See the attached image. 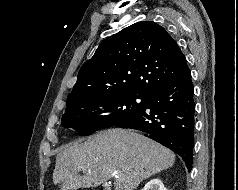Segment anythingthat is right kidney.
Segmentation results:
<instances>
[{
    "mask_svg": "<svg viewBox=\"0 0 238 190\" xmlns=\"http://www.w3.org/2000/svg\"><path fill=\"white\" fill-rule=\"evenodd\" d=\"M142 190H167L159 179L149 181Z\"/></svg>",
    "mask_w": 238,
    "mask_h": 190,
    "instance_id": "obj_1",
    "label": "right kidney"
}]
</instances>
